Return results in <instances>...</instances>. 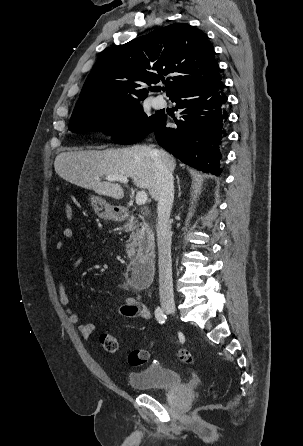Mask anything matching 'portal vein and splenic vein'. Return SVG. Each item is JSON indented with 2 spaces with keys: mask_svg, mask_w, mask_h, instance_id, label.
Segmentation results:
<instances>
[{
  "mask_svg": "<svg viewBox=\"0 0 303 446\" xmlns=\"http://www.w3.org/2000/svg\"><path fill=\"white\" fill-rule=\"evenodd\" d=\"M106 180L108 181H120L121 183H128V179L126 176H122V175H109L105 177ZM147 194L145 191H139L136 195V204L137 205H144L147 202Z\"/></svg>",
  "mask_w": 303,
  "mask_h": 446,
  "instance_id": "portal-vein-and-splenic-vein-1",
  "label": "portal vein and splenic vein"
}]
</instances>
